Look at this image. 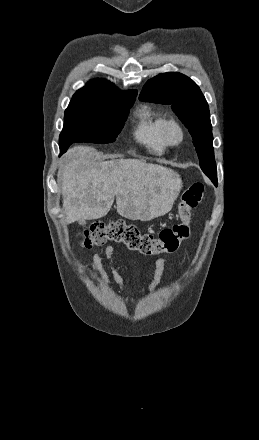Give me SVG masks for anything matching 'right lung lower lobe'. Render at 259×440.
Here are the masks:
<instances>
[{"instance_id": "right-lung-lower-lobe-1", "label": "right lung lower lobe", "mask_w": 259, "mask_h": 440, "mask_svg": "<svg viewBox=\"0 0 259 440\" xmlns=\"http://www.w3.org/2000/svg\"><path fill=\"white\" fill-rule=\"evenodd\" d=\"M60 152H61V154H62V153H64L65 151H64V149L60 148Z\"/></svg>"}]
</instances>
